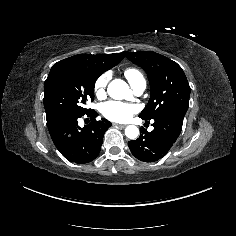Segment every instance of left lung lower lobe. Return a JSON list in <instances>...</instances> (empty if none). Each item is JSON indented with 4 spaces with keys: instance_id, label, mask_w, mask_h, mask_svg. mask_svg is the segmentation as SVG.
Masks as SVG:
<instances>
[{
    "instance_id": "0a47b994",
    "label": "left lung lower lobe",
    "mask_w": 236,
    "mask_h": 236,
    "mask_svg": "<svg viewBox=\"0 0 236 236\" xmlns=\"http://www.w3.org/2000/svg\"><path fill=\"white\" fill-rule=\"evenodd\" d=\"M185 114L186 111L176 109L150 119L154 129L151 132L143 129L138 139L128 142L133 156L144 162L164 157L180 135Z\"/></svg>"
}]
</instances>
